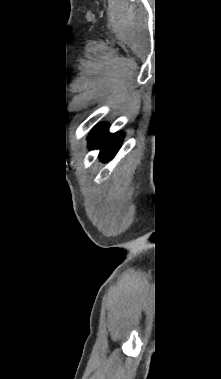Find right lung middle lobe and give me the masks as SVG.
<instances>
[{
    "instance_id": "obj_1",
    "label": "right lung middle lobe",
    "mask_w": 221,
    "mask_h": 379,
    "mask_svg": "<svg viewBox=\"0 0 221 379\" xmlns=\"http://www.w3.org/2000/svg\"><path fill=\"white\" fill-rule=\"evenodd\" d=\"M106 130V124H100L97 127H95L90 134V143H96L103 136Z\"/></svg>"
}]
</instances>
